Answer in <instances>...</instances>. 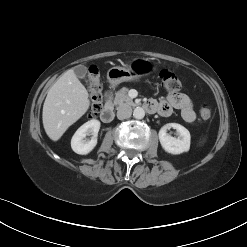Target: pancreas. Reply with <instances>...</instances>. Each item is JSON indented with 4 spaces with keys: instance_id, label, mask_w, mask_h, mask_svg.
Segmentation results:
<instances>
[{
    "instance_id": "1",
    "label": "pancreas",
    "mask_w": 247,
    "mask_h": 247,
    "mask_svg": "<svg viewBox=\"0 0 247 247\" xmlns=\"http://www.w3.org/2000/svg\"><path fill=\"white\" fill-rule=\"evenodd\" d=\"M128 88L123 87L118 92L115 93V98L113 100L114 105L122 106L129 105L134 106L133 100L128 96Z\"/></svg>"
}]
</instances>
